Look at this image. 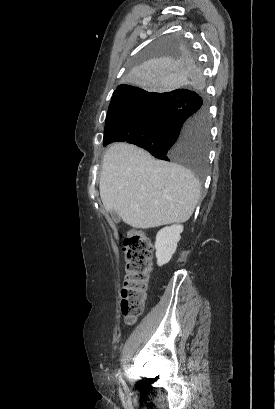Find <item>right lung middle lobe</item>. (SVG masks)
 <instances>
[{"instance_id": "dd1d6c3e", "label": "right lung middle lobe", "mask_w": 275, "mask_h": 409, "mask_svg": "<svg viewBox=\"0 0 275 409\" xmlns=\"http://www.w3.org/2000/svg\"><path fill=\"white\" fill-rule=\"evenodd\" d=\"M136 50L123 78L134 94L108 109L103 145L126 141L186 173L208 176L209 121L205 80L188 44L179 37Z\"/></svg>"}]
</instances>
